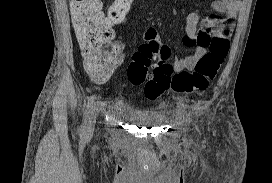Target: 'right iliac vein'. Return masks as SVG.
<instances>
[{"mask_svg":"<svg viewBox=\"0 0 272 183\" xmlns=\"http://www.w3.org/2000/svg\"><path fill=\"white\" fill-rule=\"evenodd\" d=\"M97 113H98V106L92 110L91 117H90V123H89L88 129H87L88 133H91L94 130V125L96 122Z\"/></svg>","mask_w":272,"mask_h":183,"instance_id":"obj_1","label":"right iliac vein"}]
</instances>
